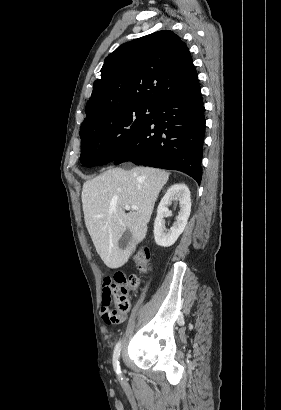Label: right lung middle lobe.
<instances>
[{"mask_svg":"<svg viewBox=\"0 0 281 410\" xmlns=\"http://www.w3.org/2000/svg\"><path fill=\"white\" fill-rule=\"evenodd\" d=\"M151 112V106L131 105L105 111L82 123V165L91 167L114 161L142 132L151 120Z\"/></svg>","mask_w":281,"mask_h":410,"instance_id":"1","label":"right lung middle lobe"}]
</instances>
